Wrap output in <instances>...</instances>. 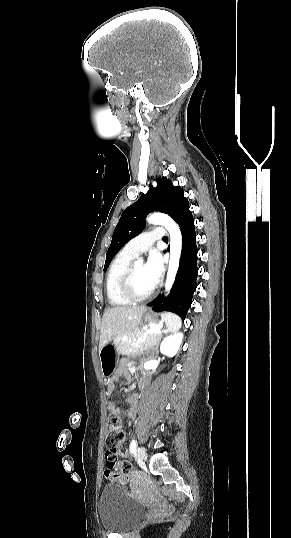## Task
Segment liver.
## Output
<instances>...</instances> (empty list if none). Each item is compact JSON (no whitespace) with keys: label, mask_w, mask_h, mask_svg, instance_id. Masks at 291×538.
Wrapping results in <instances>:
<instances>
[{"label":"liver","mask_w":291,"mask_h":538,"mask_svg":"<svg viewBox=\"0 0 291 538\" xmlns=\"http://www.w3.org/2000/svg\"><path fill=\"white\" fill-rule=\"evenodd\" d=\"M146 312L145 306H115L104 311L99 349L119 335L136 329Z\"/></svg>","instance_id":"liver-1"}]
</instances>
